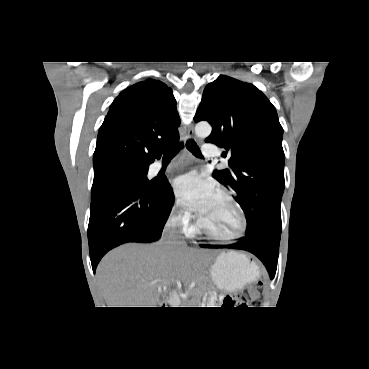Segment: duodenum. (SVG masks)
I'll return each mask as SVG.
<instances>
[{
    "instance_id": "1",
    "label": "duodenum",
    "mask_w": 369,
    "mask_h": 369,
    "mask_svg": "<svg viewBox=\"0 0 369 369\" xmlns=\"http://www.w3.org/2000/svg\"><path fill=\"white\" fill-rule=\"evenodd\" d=\"M173 297H174L173 292H172V291H169V292H168V299H169V300H172V299H173Z\"/></svg>"
}]
</instances>
